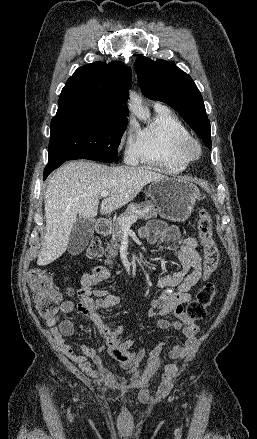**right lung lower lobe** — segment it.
<instances>
[{
    "mask_svg": "<svg viewBox=\"0 0 257 439\" xmlns=\"http://www.w3.org/2000/svg\"><path fill=\"white\" fill-rule=\"evenodd\" d=\"M63 162L55 163V164H48L44 170V179L57 167H59Z\"/></svg>",
    "mask_w": 257,
    "mask_h": 439,
    "instance_id": "obj_1",
    "label": "right lung lower lobe"
}]
</instances>
